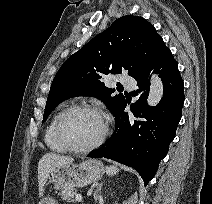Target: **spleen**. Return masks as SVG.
<instances>
[{"mask_svg": "<svg viewBox=\"0 0 212 204\" xmlns=\"http://www.w3.org/2000/svg\"><path fill=\"white\" fill-rule=\"evenodd\" d=\"M106 172L110 176L116 175L119 172V169L116 166H107Z\"/></svg>", "mask_w": 212, "mask_h": 204, "instance_id": "1", "label": "spleen"}]
</instances>
